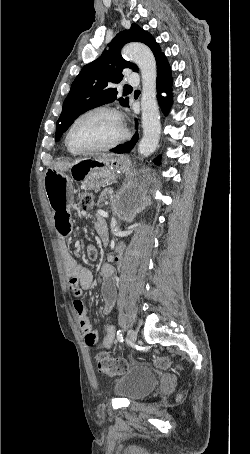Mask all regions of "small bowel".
<instances>
[{"label":"small bowel","instance_id":"c3829d8e","mask_svg":"<svg viewBox=\"0 0 250 454\" xmlns=\"http://www.w3.org/2000/svg\"><path fill=\"white\" fill-rule=\"evenodd\" d=\"M45 190L53 210L56 229L66 237L71 231V220L69 209L72 205L77 192V185L72 175L51 171L45 178ZM96 230L103 242L107 240L106 225L103 220L96 224ZM87 255L90 259L97 257V250L93 245L87 247ZM65 270L68 275L69 289L74 297L73 307L77 316L78 325L81 329L87 345H94L97 342V331L93 329L88 317L85 304L83 302V292L88 290L93 282V276L89 269L79 264L67 251L62 248ZM99 280L102 284V296L104 304L103 314H108L112 310L115 299V268L111 264L102 267ZM115 328L108 325L106 333L100 346L109 349L114 343Z\"/></svg>","mask_w":250,"mask_h":454}]
</instances>
